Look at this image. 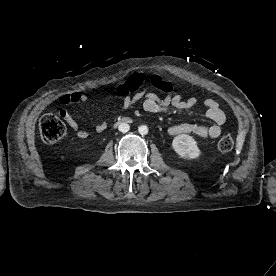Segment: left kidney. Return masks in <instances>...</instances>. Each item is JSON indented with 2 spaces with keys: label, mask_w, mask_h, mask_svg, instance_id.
I'll return each mask as SVG.
<instances>
[{
  "label": "left kidney",
  "mask_w": 276,
  "mask_h": 276,
  "mask_svg": "<svg viewBox=\"0 0 276 276\" xmlns=\"http://www.w3.org/2000/svg\"><path fill=\"white\" fill-rule=\"evenodd\" d=\"M172 147L184 159H196L200 156L196 140L187 134H180L174 137Z\"/></svg>",
  "instance_id": "obj_1"
}]
</instances>
